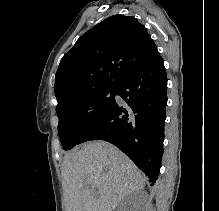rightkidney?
Segmentation results:
<instances>
[{
    "mask_svg": "<svg viewBox=\"0 0 219 211\" xmlns=\"http://www.w3.org/2000/svg\"><path fill=\"white\" fill-rule=\"evenodd\" d=\"M137 193H140V191H137ZM129 203H131L130 209L127 207ZM136 203H138L137 197H129V201H125V203H123L124 207H126L125 211H131L132 207H136Z\"/></svg>",
    "mask_w": 219,
    "mask_h": 211,
    "instance_id": "ca27d5eb",
    "label": "right kidney"
}]
</instances>
